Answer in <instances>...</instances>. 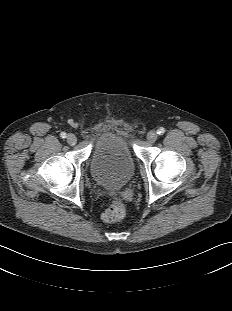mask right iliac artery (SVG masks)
I'll return each instance as SVG.
<instances>
[{
	"mask_svg": "<svg viewBox=\"0 0 232 311\" xmlns=\"http://www.w3.org/2000/svg\"><path fill=\"white\" fill-rule=\"evenodd\" d=\"M60 137H61V138H66V133H65V132H62V133L60 134Z\"/></svg>",
	"mask_w": 232,
	"mask_h": 311,
	"instance_id": "1",
	"label": "right iliac artery"
}]
</instances>
